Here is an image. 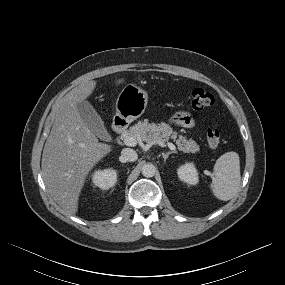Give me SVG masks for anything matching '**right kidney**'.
Listing matches in <instances>:
<instances>
[{
    "instance_id": "1",
    "label": "right kidney",
    "mask_w": 285,
    "mask_h": 285,
    "mask_svg": "<svg viewBox=\"0 0 285 285\" xmlns=\"http://www.w3.org/2000/svg\"><path fill=\"white\" fill-rule=\"evenodd\" d=\"M117 178L118 172L110 168L96 171L92 176V182L94 186L107 190L116 184Z\"/></svg>"
}]
</instances>
